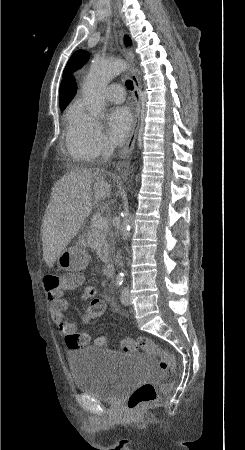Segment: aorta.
<instances>
[{
	"label": "aorta",
	"mask_w": 245,
	"mask_h": 450,
	"mask_svg": "<svg viewBox=\"0 0 245 450\" xmlns=\"http://www.w3.org/2000/svg\"><path fill=\"white\" fill-rule=\"evenodd\" d=\"M128 67L126 61L114 59L110 61L94 62L83 87L84 103L87 111L98 116L105 107V88L109 81ZM131 223L128 211L123 213L121 228L122 239L130 236Z\"/></svg>",
	"instance_id": "1"
}]
</instances>
